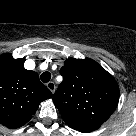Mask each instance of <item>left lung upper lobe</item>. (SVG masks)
I'll list each match as a JSON object with an SVG mask.
<instances>
[{
    "label": "left lung upper lobe",
    "instance_id": "5c2ea615",
    "mask_svg": "<svg viewBox=\"0 0 136 136\" xmlns=\"http://www.w3.org/2000/svg\"><path fill=\"white\" fill-rule=\"evenodd\" d=\"M60 73L63 81L53 95V102L63 120L80 132L98 129L117 108L116 80L89 58H68Z\"/></svg>",
    "mask_w": 136,
    "mask_h": 136
}]
</instances>
